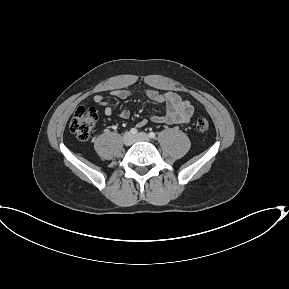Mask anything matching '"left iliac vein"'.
<instances>
[{
    "mask_svg": "<svg viewBox=\"0 0 289 289\" xmlns=\"http://www.w3.org/2000/svg\"><path fill=\"white\" fill-rule=\"evenodd\" d=\"M134 141H145V142H149L150 138L149 136L144 133V132H140L137 135L134 136Z\"/></svg>",
    "mask_w": 289,
    "mask_h": 289,
    "instance_id": "left-iliac-vein-1",
    "label": "left iliac vein"
}]
</instances>
